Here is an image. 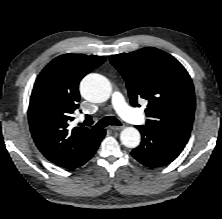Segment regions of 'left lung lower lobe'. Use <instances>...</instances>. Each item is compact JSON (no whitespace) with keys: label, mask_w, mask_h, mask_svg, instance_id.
I'll list each match as a JSON object with an SVG mask.
<instances>
[{"label":"left lung lower lobe","mask_w":222,"mask_h":219,"mask_svg":"<svg viewBox=\"0 0 222 219\" xmlns=\"http://www.w3.org/2000/svg\"><path fill=\"white\" fill-rule=\"evenodd\" d=\"M142 135L141 144L132 150V156L146 167L169 164L182 152L186 143L155 131L146 125L136 126Z\"/></svg>","instance_id":"0a47b994"}]
</instances>
